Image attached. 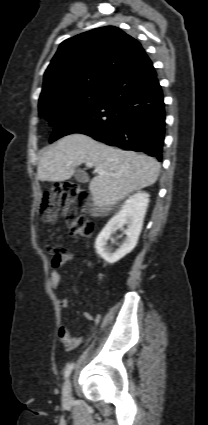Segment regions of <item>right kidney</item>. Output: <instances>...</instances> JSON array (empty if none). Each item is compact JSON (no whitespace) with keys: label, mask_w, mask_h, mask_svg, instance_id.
Returning a JSON list of instances; mask_svg holds the SVG:
<instances>
[{"label":"right kidney","mask_w":208,"mask_h":425,"mask_svg":"<svg viewBox=\"0 0 208 425\" xmlns=\"http://www.w3.org/2000/svg\"><path fill=\"white\" fill-rule=\"evenodd\" d=\"M149 203V194L138 192L130 196L122 205L121 210L113 216L99 233L95 248L97 253L108 263L113 264L130 253L136 246L142 230L144 216ZM126 239L119 249L111 252L106 247L107 241L117 229L123 228Z\"/></svg>","instance_id":"ca27d5eb"}]
</instances>
